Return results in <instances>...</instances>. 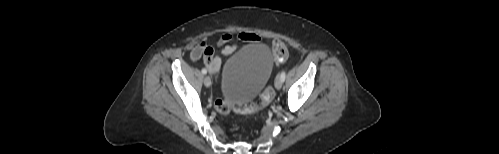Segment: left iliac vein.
I'll use <instances>...</instances> for the list:
<instances>
[{
  "label": "left iliac vein",
  "instance_id": "4c4485c4",
  "mask_svg": "<svg viewBox=\"0 0 499 154\" xmlns=\"http://www.w3.org/2000/svg\"><path fill=\"white\" fill-rule=\"evenodd\" d=\"M282 84H283V81L281 80V77L277 76L275 79V88L278 90L281 89Z\"/></svg>",
  "mask_w": 499,
  "mask_h": 154
}]
</instances>
